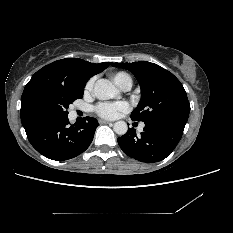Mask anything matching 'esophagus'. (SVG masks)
<instances>
[{
    "mask_svg": "<svg viewBox=\"0 0 233 233\" xmlns=\"http://www.w3.org/2000/svg\"><path fill=\"white\" fill-rule=\"evenodd\" d=\"M99 123L100 124H112V122L107 121V120H100Z\"/></svg>",
    "mask_w": 233,
    "mask_h": 233,
    "instance_id": "1",
    "label": "esophagus"
}]
</instances>
